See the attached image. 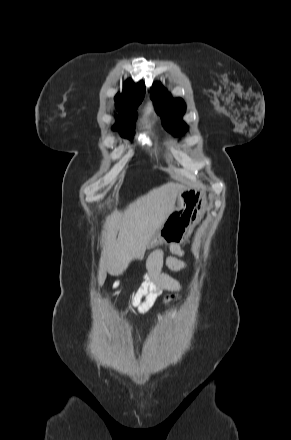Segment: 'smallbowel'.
<instances>
[{"label":"small bowel","mask_w":291,"mask_h":440,"mask_svg":"<svg viewBox=\"0 0 291 440\" xmlns=\"http://www.w3.org/2000/svg\"><path fill=\"white\" fill-rule=\"evenodd\" d=\"M172 256L166 259V264L172 270H181L187 266L184 259L185 251L178 245L171 247ZM164 261L161 250L153 251L147 259L148 280H146L138 291L131 297L130 304L136 307L140 313L146 312L160 298L163 291H170L175 294L181 291V285L169 274L161 273ZM120 282L116 281L113 287L116 289Z\"/></svg>","instance_id":"1"}]
</instances>
